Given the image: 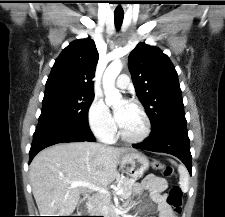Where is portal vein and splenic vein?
Masks as SVG:
<instances>
[{"instance_id":"portal-vein-and-splenic-vein-1","label":"portal vein and splenic vein","mask_w":225,"mask_h":217,"mask_svg":"<svg viewBox=\"0 0 225 217\" xmlns=\"http://www.w3.org/2000/svg\"><path fill=\"white\" fill-rule=\"evenodd\" d=\"M71 186H73V187H77V186H85V187H88V188H90V189H92V190L98 191V192H100V193H102V194H107V195L110 194L106 189L100 188V187H96V186H94V185H92V184H90V183H88V182L75 181V182H71ZM122 193H123V190H122V189H119V188H118V189L116 190V194H117V195H121Z\"/></svg>"}]
</instances>
